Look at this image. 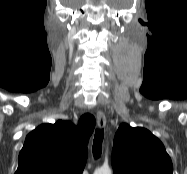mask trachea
<instances>
[{"instance_id": "3493384b", "label": "trachea", "mask_w": 187, "mask_h": 174, "mask_svg": "<svg viewBox=\"0 0 187 174\" xmlns=\"http://www.w3.org/2000/svg\"><path fill=\"white\" fill-rule=\"evenodd\" d=\"M104 137L103 129H96L94 141H93V155L97 159L101 156L102 153V142Z\"/></svg>"}]
</instances>
